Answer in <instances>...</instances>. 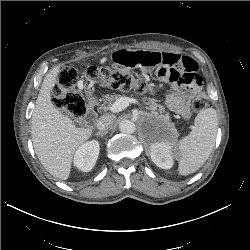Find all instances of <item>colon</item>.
<instances>
[{
	"instance_id": "1",
	"label": "colon",
	"mask_w": 250,
	"mask_h": 250,
	"mask_svg": "<svg viewBox=\"0 0 250 250\" xmlns=\"http://www.w3.org/2000/svg\"><path fill=\"white\" fill-rule=\"evenodd\" d=\"M85 75L94 79L102 86L121 89L134 90L137 93H147L152 91L150 84L140 78L132 75L124 74L110 67H89ZM78 73L73 68H63L57 78V82L53 87V100L55 105L73 117L80 118L86 112V105L83 97L75 89ZM210 104L209 96L201 91L195 97L192 107L195 111H201Z\"/></svg>"
}]
</instances>
